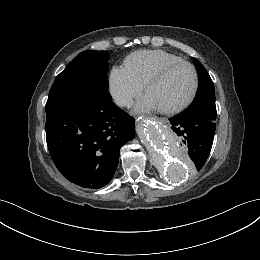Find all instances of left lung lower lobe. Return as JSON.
<instances>
[{
    "mask_svg": "<svg viewBox=\"0 0 260 260\" xmlns=\"http://www.w3.org/2000/svg\"><path fill=\"white\" fill-rule=\"evenodd\" d=\"M216 116V109L197 108L169 118L171 129L193 161L190 164L198 171L204 166L212 148Z\"/></svg>",
    "mask_w": 260,
    "mask_h": 260,
    "instance_id": "left-lung-lower-lobe-1",
    "label": "left lung lower lobe"
}]
</instances>
